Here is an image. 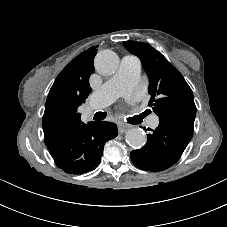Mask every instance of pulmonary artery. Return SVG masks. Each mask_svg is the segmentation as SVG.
Returning <instances> with one entry per match:
<instances>
[{
    "label": "pulmonary artery",
    "instance_id": "1",
    "mask_svg": "<svg viewBox=\"0 0 227 227\" xmlns=\"http://www.w3.org/2000/svg\"><path fill=\"white\" fill-rule=\"evenodd\" d=\"M140 72L141 63L136 57L123 56L114 76L93 93L90 111L102 109L120 96L129 99L132 90L138 83ZM149 125L152 128L158 127L159 118L157 115L149 116Z\"/></svg>",
    "mask_w": 227,
    "mask_h": 227
}]
</instances>
